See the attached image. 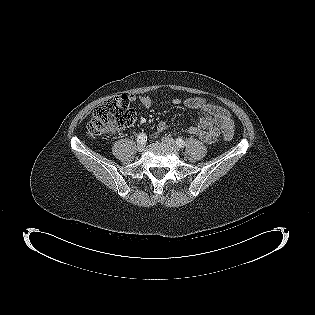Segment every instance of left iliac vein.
I'll list each match as a JSON object with an SVG mask.
<instances>
[{"mask_svg":"<svg viewBox=\"0 0 315 315\" xmlns=\"http://www.w3.org/2000/svg\"><path fill=\"white\" fill-rule=\"evenodd\" d=\"M161 141L170 146L171 148H173L175 151H179V146L177 145V143L175 142L174 139H172L171 137H167V136H164L162 137Z\"/></svg>","mask_w":315,"mask_h":315,"instance_id":"obj_1","label":"left iliac vein"}]
</instances>
